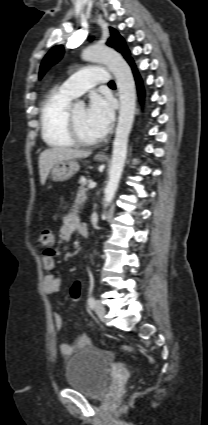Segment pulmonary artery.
I'll use <instances>...</instances> for the list:
<instances>
[{"label":"pulmonary artery","instance_id":"obj_1","mask_svg":"<svg viewBox=\"0 0 208 425\" xmlns=\"http://www.w3.org/2000/svg\"><path fill=\"white\" fill-rule=\"evenodd\" d=\"M109 83V74L105 68L86 67L68 78L61 86V89L73 98L85 93L97 84Z\"/></svg>","mask_w":208,"mask_h":425}]
</instances>
